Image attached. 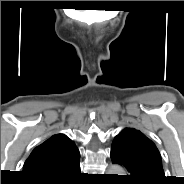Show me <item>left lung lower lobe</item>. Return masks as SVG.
Instances as JSON below:
<instances>
[{
    "label": "left lung lower lobe",
    "instance_id": "0a47b994",
    "mask_svg": "<svg viewBox=\"0 0 184 184\" xmlns=\"http://www.w3.org/2000/svg\"><path fill=\"white\" fill-rule=\"evenodd\" d=\"M110 157L113 163L120 164L127 172L123 176V181L127 184H162L163 181L155 179L148 175L146 169L133 161L120 149L111 146Z\"/></svg>",
    "mask_w": 184,
    "mask_h": 184
}]
</instances>
